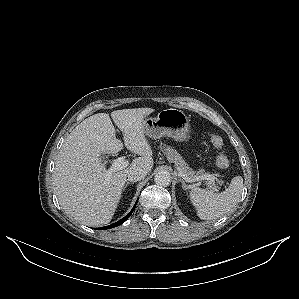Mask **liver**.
I'll use <instances>...</instances> for the list:
<instances>
[{
  "label": "liver",
  "instance_id": "1",
  "mask_svg": "<svg viewBox=\"0 0 299 299\" xmlns=\"http://www.w3.org/2000/svg\"><path fill=\"white\" fill-rule=\"evenodd\" d=\"M152 112V108H135L111 113L124 134L126 148L140 156L119 171L109 173L100 157L116 154L123 147L108 114L88 117L67 136L56 159L53 185L68 216L92 227L112 220L129 170L142 167L150 172L153 168V151L143 129L144 116Z\"/></svg>",
  "mask_w": 299,
  "mask_h": 299
}]
</instances>
